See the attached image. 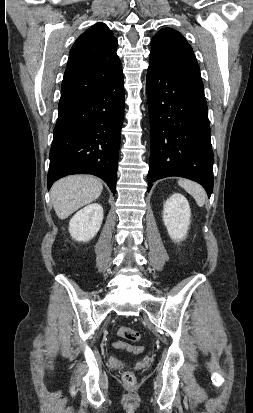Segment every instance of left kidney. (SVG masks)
I'll use <instances>...</instances> for the list:
<instances>
[{
  "instance_id": "1",
  "label": "left kidney",
  "mask_w": 253,
  "mask_h": 413,
  "mask_svg": "<svg viewBox=\"0 0 253 413\" xmlns=\"http://www.w3.org/2000/svg\"><path fill=\"white\" fill-rule=\"evenodd\" d=\"M190 217V206L183 195L175 193L166 200L163 208V221L173 241L179 242L185 239Z\"/></svg>"
}]
</instances>
